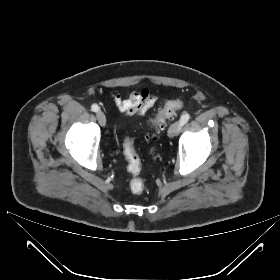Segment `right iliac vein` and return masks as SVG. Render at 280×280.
<instances>
[{
  "label": "right iliac vein",
  "mask_w": 280,
  "mask_h": 280,
  "mask_svg": "<svg viewBox=\"0 0 280 280\" xmlns=\"http://www.w3.org/2000/svg\"><path fill=\"white\" fill-rule=\"evenodd\" d=\"M96 117L98 119V122L101 126H105L106 125V117H105V114L102 112V111H98L96 113Z\"/></svg>",
  "instance_id": "1"
}]
</instances>
